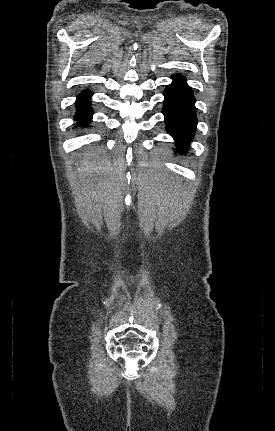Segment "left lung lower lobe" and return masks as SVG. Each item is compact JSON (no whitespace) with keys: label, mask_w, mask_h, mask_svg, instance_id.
Listing matches in <instances>:
<instances>
[{"label":"left lung lower lobe","mask_w":275,"mask_h":431,"mask_svg":"<svg viewBox=\"0 0 275 431\" xmlns=\"http://www.w3.org/2000/svg\"><path fill=\"white\" fill-rule=\"evenodd\" d=\"M173 82L164 91L165 124L176 141V152H184L196 130L195 98L190 86L181 75L172 76Z\"/></svg>","instance_id":"1"}]
</instances>
